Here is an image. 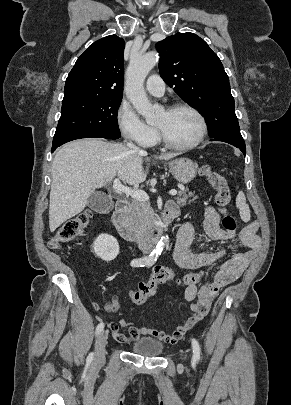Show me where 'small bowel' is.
Instances as JSON below:
<instances>
[{"instance_id":"c3829d8e","label":"small bowel","mask_w":291,"mask_h":405,"mask_svg":"<svg viewBox=\"0 0 291 405\" xmlns=\"http://www.w3.org/2000/svg\"><path fill=\"white\" fill-rule=\"evenodd\" d=\"M204 229L207 236L214 242L235 241L237 243L232 256L224 261L214 273L209 284L198 288L196 285L186 287L184 297L192 302V315L188 320L168 334L157 329H148L127 319H120L118 323H110L112 337L123 344H130L142 336H151L159 341L174 344L196 326L207 315L211 301L217 292L229 283L236 281L248 267L250 261L257 254L260 239L257 236L255 224H249L236 234L220 226V215L215 208L208 206L205 209ZM194 238V227L191 223L183 224L179 230L177 242L173 251V258L177 265L183 269L194 270L214 264L226 255V251L193 253L189 246ZM245 248V250H243ZM119 309L116 296L105 305L107 313H115ZM119 326L127 327L128 334L119 331Z\"/></svg>"}]
</instances>
